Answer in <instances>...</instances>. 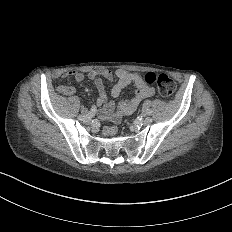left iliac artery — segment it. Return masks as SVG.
<instances>
[{
    "label": "left iliac artery",
    "mask_w": 232,
    "mask_h": 232,
    "mask_svg": "<svg viewBox=\"0 0 232 232\" xmlns=\"http://www.w3.org/2000/svg\"><path fill=\"white\" fill-rule=\"evenodd\" d=\"M137 119H138V120H142L143 118H142L141 116H138Z\"/></svg>",
    "instance_id": "44dca946"
}]
</instances>
